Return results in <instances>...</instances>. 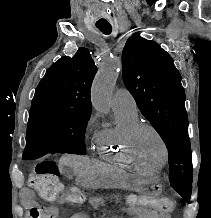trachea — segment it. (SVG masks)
Here are the masks:
<instances>
[{
	"label": "trachea",
	"instance_id": "1",
	"mask_svg": "<svg viewBox=\"0 0 211 218\" xmlns=\"http://www.w3.org/2000/svg\"><path fill=\"white\" fill-rule=\"evenodd\" d=\"M98 30L103 32L105 35H109L112 32V27L111 25H100L97 26Z\"/></svg>",
	"mask_w": 211,
	"mask_h": 218
}]
</instances>
